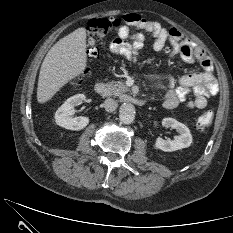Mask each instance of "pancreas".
<instances>
[{"mask_svg": "<svg viewBox=\"0 0 233 233\" xmlns=\"http://www.w3.org/2000/svg\"><path fill=\"white\" fill-rule=\"evenodd\" d=\"M107 88L109 96H121L129 91V88L122 81L110 82L107 84Z\"/></svg>", "mask_w": 233, "mask_h": 233, "instance_id": "obj_1", "label": "pancreas"}]
</instances>
